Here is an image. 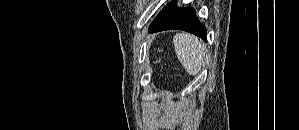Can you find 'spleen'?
<instances>
[{
    "label": "spleen",
    "instance_id": "spleen-1",
    "mask_svg": "<svg viewBox=\"0 0 299 130\" xmlns=\"http://www.w3.org/2000/svg\"><path fill=\"white\" fill-rule=\"evenodd\" d=\"M173 43L177 58L187 73L197 75L205 61V47L195 36L187 33L176 34Z\"/></svg>",
    "mask_w": 299,
    "mask_h": 130
}]
</instances>
